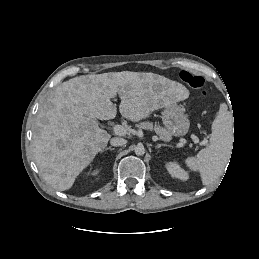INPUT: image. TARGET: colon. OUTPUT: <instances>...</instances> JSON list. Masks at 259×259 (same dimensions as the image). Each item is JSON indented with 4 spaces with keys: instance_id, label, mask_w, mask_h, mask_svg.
Here are the masks:
<instances>
[{
    "instance_id": "5ec220e1",
    "label": "colon",
    "mask_w": 259,
    "mask_h": 259,
    "mask_svg": "<svg viewBox=\"0 0 259 259\" xmlns=\"http://www.w3.org/2000/svg\"><path fill=\"white\" fill-rule=\"evenodd\" d=\"M179 77L190 88L199 91L202 95L206 94V90L204 89V79L201 76L194 75L186 70H182L179 73Z\"/></svg>"
}]
</instances>
